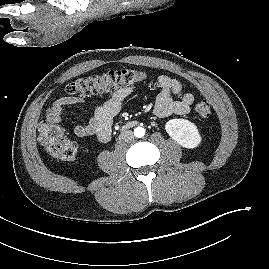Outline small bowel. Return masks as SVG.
Returning a JSON list of instances; mask_svg holds the SVG:
<instances>
[{
	"instance_id": "obj_1",
	"label": "small bowel",
	"mask_w": 269,
	"mask_h": 269,
	"mask_svg": "<svg viewBox=\"0 0 269 269\" xmlns=\"http://www.w3.org/2000/svg\"><path fill=\"white\" fill-rule=\"evenodd\" d=\"M157 85L160 93L154 104L153 113L160 118L170 115L188 114L194 102L191 93L183 92L182 83L168 75H159ZM133 92L132 86H123L115 90L111 96L94 109L93 116L85 124L73 126V133L78 137L96 136L100 141L110 139L113 118L120 113L125 100ZM83 100L79 97L65 96L57 99L47 111V119L56 124L63 122L65 108L79 105Z\"/></svg>"
}]
</instances>
